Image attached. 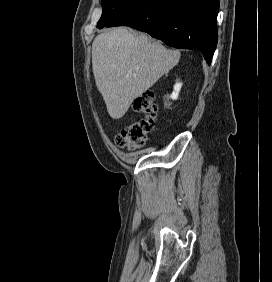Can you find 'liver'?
<instances>
[{
	"label": "liver",
	"instance_id": "6515ba94",
	"mask_svg": "<svg viewBox=\"0 0 272 282\" xmlns=\"http://www.w3.org/2000/svg\"><path fill=\"white\" fill-rule=\"evenodd\" d=\"M179 59V51L165 48L146 34H133L126 27L99 34L92 43V68L109 115L122 118L134 99Z\"/></svg>",
	"mask_w": 272,
	"mask_h": 282
}]
</instances>
